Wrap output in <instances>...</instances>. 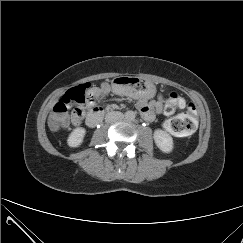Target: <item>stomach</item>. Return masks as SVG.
<instances>
[{"mask_svg":"<svg viewBox=\"0 0 243 243\" xmlns=\"http://www.w3.org/2000/svg\"><path fill=\"white\" fill-rule=\"evenodd\" d=\"M112 90L116 94H124L132 98H152L156 94L154 84L137 77L119 76L112 83Z\"/></svg>","mask_w":243,"mask_h":243,"instance_id":"obj_1","label":"stomach"}]
</instances>
